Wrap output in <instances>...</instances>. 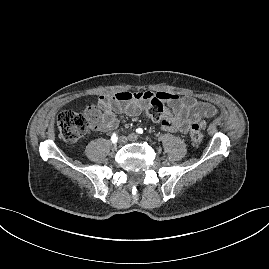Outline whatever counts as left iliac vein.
I'll list each match as a JSON object with an SVG mask.
<instances>
[{
    "label": "left iliac vein",
    "mask_w": 269,
    "mask_h": 269,
    "mask_svg": "<svg viewBox=\"0 0 269 269\" xmlns=\"http://www.w3.org/2000/svg\"><path fill=\"white\" fill-rule=\"evenodd\" d=\"M138 135L136 134V133H130L129 135H128V139L130 140V141H132V142H136L137 140H138Z\"/></svg>",
    "instance_id": "left-iliac-vein-1"
}]
</instances>
